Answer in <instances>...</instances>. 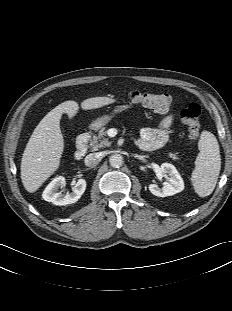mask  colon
Here are the masks:
<instances>
[{"label":"colon","mask_w":232,"mask_h":311,"mask_svg":"<svg viewBox=\"0 0 232 311\" xmlns=\"http://www.w3.org/2000/svg\"><path fill=\"white\" fill-rule=\"evenodd\" d=\"M128 100L158 113H166L174 106L172 97L165 93H147L132 91L127 94ZM201 109L198 104L191 103L181 111V119L188 129L189 138L196 140L200 133Z\"/></svg>","instance_id":"1"}]
</instances>
